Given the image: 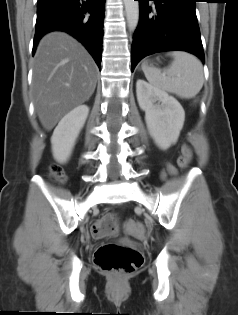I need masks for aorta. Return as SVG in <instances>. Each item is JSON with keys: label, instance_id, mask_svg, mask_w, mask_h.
<instances>
[{"label": "aorta", "instance_id": "aorta-1", "mask_svg": "<svg viewBox=\"0 0 238 315\" xmlns=\"http://www.w3.org/2000/svg\"><path fill=\"white\" fill-rule=\"evenodd\" d=\"M126 12L127 25L134 31L139 22V2L134 0H123Z\"/></svg>", "mask_w": 238, "mask_h": 315}]
</instances>
